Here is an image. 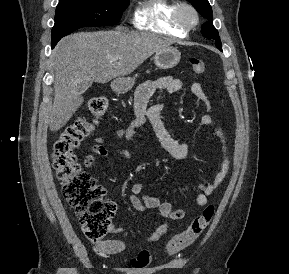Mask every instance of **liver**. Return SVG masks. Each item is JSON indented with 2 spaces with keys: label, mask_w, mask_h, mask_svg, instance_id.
I'll return each mask as SVG.
<instances>
[{
  "label": "liver",
  "mask_w": 289,
  "mask_h": 274,
  "mask_svg": "<svg viewBox=\"0 0 289 274\" xmlns=\"http://www.w3.org/2000/svg\"><path fill=\"white\" fill-rule=\"evenodd\" d=\"M168 47L169 42L157 36L119 29L64 37L51 55L55 78L50 131L64 127L82 105V83H106L129 75L152 54Z\"/></svg>",
  "instance_id": "1"
}]
</instances>
